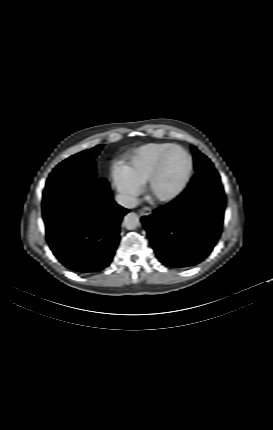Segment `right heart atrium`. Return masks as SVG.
<instances>
[{
  "label": "right heart atrium",
  "instance_id": "d8ad5b80",
  "mask_svg": "<svg viewBox=\"0 0 273 430\" xmlns=\"http://www.w3.org/2000/svg\"><path fill=\"white\" fill-rule=\"evenodd\" d=\"M111 177L114 186L124 197L130 199L140 192V186L129 177L123 166L115 165L112 168Z\"/></svg>",
  "mask_w": 273,
  "mask_h": 430
}]
</instances>
